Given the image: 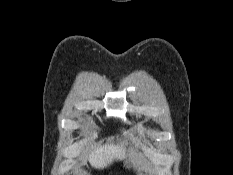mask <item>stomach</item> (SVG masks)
Instances as JSON below:
<instances>
[{
    "label": "stomach",
    "mask_w": 233,
    "mask_h": 175,
    "mask_svg": "<svg viewBox=\"0 0 233 175\" xmlns=\"http://www.w3.org/2000/svg\"><path fill=\"white\" fill-rule=\"evenodd\" d=\"M124 166L128 169H132V168H135L137 166V163L132 158H128L124 162Z\"/></svg>",
    "instance_id": "stomach-1"
}]
</instances>
